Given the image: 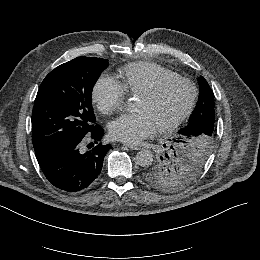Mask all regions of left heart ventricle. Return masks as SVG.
Listing matches in <instances>:
<instances>
[{"label":"left heart ventricle","instance_id":"left-heart-ventricle-1","mask_svg":"<svg viewBox=\"0 0 260 260\" xmlns=\"http://www.w3.org/2000/svg\"><path fill=\"white\" fill-rule=\"evenodd\" d=\"M159 80L155 77L151 87ZM191 96L192 91L188 85L175 81L157 96L137 95L135 108L147 110L157 127L180 115L188 106Z\"/></svg>","mask_w":260,"mask_h":260}]
</instances>
